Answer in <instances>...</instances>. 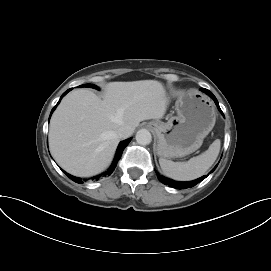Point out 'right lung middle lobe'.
<instances>
[{"label": "right lung middle lobe", "mask_w": 271, "mask_h": 271, "mask_svg": "<svg viewBox=\"0 0 271 271\" xmlns=\"http://www.w3.org/2000/svg\"><path fill=\"white\" fill-rule=\"evenodd\" d=\"M81 87H92V88L98 89V87L93 84H84V85H81Z\"/></svg>", "instance_id": "obj_1"}]
</instances>
